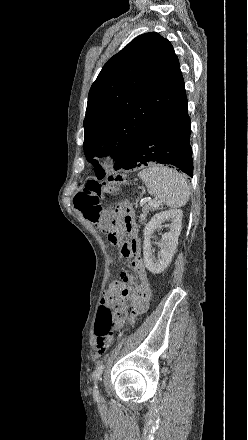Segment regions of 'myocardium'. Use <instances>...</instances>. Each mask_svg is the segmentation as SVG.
<instances>
[{
    "label": "myocardium",
    "instance_id": "1",
    "mask_svg": "<svg viewBox=\"0 0 248 440\" xmlns=\"http://www.w3.org/2000/svg\"><path fill=\"white\" fill-rule=\"evenodd\" d=\"M108 158V154H98L95 156V161L102 162Z\"/></svg>",
    "mask_w": 248,
    "mask_h": 440
}]
</instances>
